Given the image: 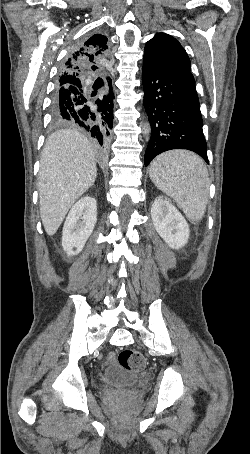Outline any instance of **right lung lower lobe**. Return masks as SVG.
<instances>
[{
  "label": "right lung lower lobe",
  "mask_w": 250,
  "mask_h": 454,
  "mask_svg": "<svg viewBox=\"0 0 250 454\" xmlns=\"http://www.w3.org/2000/svg\"><path fill=\"white\" fill-rule=\"evenodd\" d=\"M108 84L111 79L107 77ZM113 92L93 100L83 94L81 84L58 89L52 103V117L62 124L77 125L89 132L101 146L109 140L113 127ZM93 97V95H92ZM92 104H96L94 108Z\"/></svg>",
  "instance_id": "98d812e1"
}]
</instances>
